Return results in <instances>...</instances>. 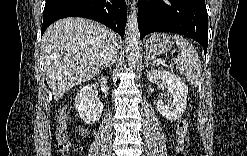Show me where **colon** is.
Segmentation results:
<instances>
[{
  "label": "colon",
  "mask_w": 247,
  "mask_h": 156,
  "mask_svg": "<svg viewBox=\"0 0 247 156\" xmlns=\"http://www.w3.org/2000/svg\"><path fill=\"white\" fill-rule=\"evenodd\" d=\"M188 123L182 121L179 123L175 132V154L177 156H183L185 154V136L187 133ZM56 141L59 150L62 153H66L69 149L68 140V119L63 110L57 112V127H56Z\"/></svg>",
  "instance_id": "5ec220e1"
}]
</instances>
